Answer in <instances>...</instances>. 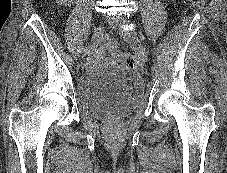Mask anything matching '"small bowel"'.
Returning <instances> with one entry per match:
<instances>
[{
  "mask_svg": "<svg viewBox=\"0 0 227 173\" xmlns=\"http://www.w3.org/2000/svg\"><path fill=\"white\" fill-rule=\"evenodd\" d=\"M101 55H102V51L101 50L97 51L96 54H95L94 59L98 60L101 57Z\"/></svg>",
  "mask_w": 227,
  "mask_h": 173,
  "instance_id": "small-bowel-1",
  "label": "small bowel"
}]
</instances>
